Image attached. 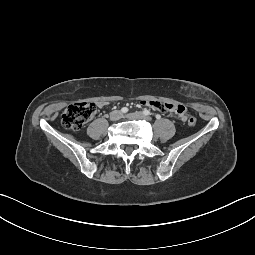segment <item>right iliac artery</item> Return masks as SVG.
I'll use <instances>...</instances> for the list:
<instances>
[{"label":"right iliac artery","mask_w":255,"mask_h":255,"mask_svg":"<svg viewBox=\"0 0 255 255\" xmlns=\"http://www.w3.org/2000/svg\"><path fill=\"white\" fill-rule=\"evenodd\" d=\"M121 112H122V113H127V112H128V108L123 107V108L121 109Z\"/></svg>","instance_id":"1"}]
</instances>
